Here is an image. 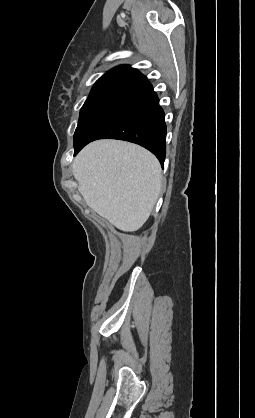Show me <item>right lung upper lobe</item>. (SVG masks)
<instances>
[{
	"instance_id": "obj_1",
	"label": "right lung upper lobe",
	"mask_w": 255,
	"mask_h": 418,
	"mask_svg": "<svg viewBox=\"0 0 255 418\" xmlns=\"http://www.w3.org/2000/svg\"><path fill=\"white\" fill-rule=\"evenodd\" d=\"M145 79L146 77L143 76L137 69L131 68L127 65H120L105 73L96 81L95 85H117L127 88Z\"/></svg>"
}]
</instances>
